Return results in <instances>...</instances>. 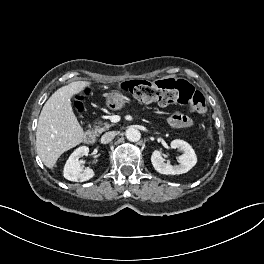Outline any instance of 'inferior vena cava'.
<instances>
[{"instance_id":"inferior-vena-cava-1","label":"inferior vena cava","mask_w":264,"mask_h":264,"mask_svg":"<svg viewBox=\"0 0 264 264\" xmlns=\"http://www.w3.org/2000/svg\"><path fill=\"white\" fill-rule=\"evenodd\" d=\"M116 134L117 133L115 131L106 132L101 137V143L108 144L109 142H111L114 139Z\"/></svg>"}]
</instances>
